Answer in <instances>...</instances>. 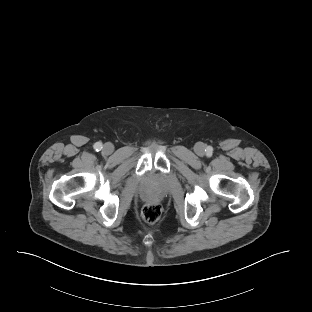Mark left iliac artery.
<instances>
[{"mask_svg":"<svg viewBox=\"0 0 312 312\" xmlns=\"http://www.w3.org/2000/svg\"><path fill=\"white\" fill-rule=\"evenodd\" d=\"M205 151L207 152L208 155H210L213 152V148L211 146H208Z\"/></svg>","mask_w":312,"mask_h":312,"instance_id":"44dca946","label":"left iliac artery"}]
</instances>
